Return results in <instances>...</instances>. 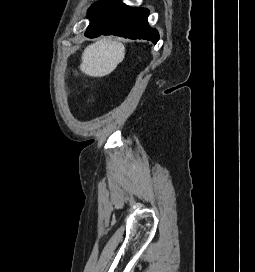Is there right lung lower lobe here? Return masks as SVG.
<instances>
[{
	"label": "right lung lower lobe",
	"instance_id": "right-lung-lower-lobe-1",
	"mask_svg": "<svg viewBox=\"0 0 255 272\" xmlns=\"http://www.w3.org/2000/svg\"><path fill=\"white\" fill-rule=\"evenodd\" d=\"M148 15L145 8H131L120 0H102L88 10L90 24L85 36L95 38L112 34L156 43L159 35L156 29L148 26Z\"/></svg>",
	"mask_w": 255,
	"mask_h": 272
}]
</instances>
